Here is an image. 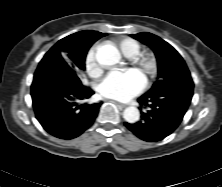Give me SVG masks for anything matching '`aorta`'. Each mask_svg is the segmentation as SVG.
Here are the masks:
<instances>
[{"instance_id": "1", "label": "aorta", "mask_w": 222, "mask_h": 187, "mask_svg": "<svg viewBox=\"0 0 222 187\" xmlns=\"http://www.w3.org/2000/svg\"><path fill=\"white\" fill-rule=\"evenodd\" d=\"M96 61L102 67H110L119 63L121 55L116 47L105 44L97 48ZM123 118L128 123H136L140 118V112L136 107H127L123 112Z\"/></svg>"}]
</instances>
